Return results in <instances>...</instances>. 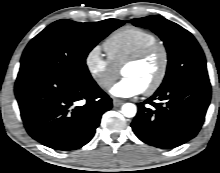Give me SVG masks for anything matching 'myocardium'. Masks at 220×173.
<instances>
[{
    "instance_id": "f54148a6",
    "label": "myocardium",
    "mask_w": 220,
    "mask_h": 173,
    "mask_svg": "<svg viewBox=\"0 0 220 173\" xmlns=\"http://www.w3.org/2000/svg\"><path fill=\"white\" fill-rule=\"evenodd\" d=\"M155 53H159L161 55V66L158 75L153 83L146 89H144L145 95H152L157 92L165 81L169 68V52L167 47L159 42L153 43L137 51L135 54L130 56L123 64L124 68L128 65L141 63Z\"/></svg>"
}]
</instances>
